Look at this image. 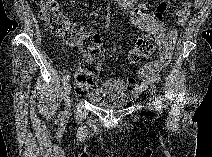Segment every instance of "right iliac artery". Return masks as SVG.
Masks as SVG:
<instances>
[{
  "label": "right iliac artery",
  "mask_w": 212,
  "mask_h": 157,
  "mask_svg": "<svg viewBox=\"0 0 212 157\" xmlns=\"http://www.w3.org/2000/svg\"><path fill=\"white\" fill-rule=\"evenodd\" d=\"M69 79H70L69 74L64 75L63 79H62L63 84L67 83L69 81Z\"/></svg>",
  "instance_id": "obj_1"
}]
</instances>
